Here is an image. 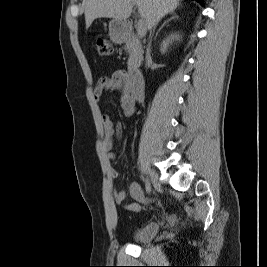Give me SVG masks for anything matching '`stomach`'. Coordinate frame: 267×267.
Wrapping results in <instances>:
<instances>
[{"label":"stomach","instance_id":"obj_1","mask_svg":"<svg viewBox=\"0 0 267 267\" xmlns=\"http://www.w3.org/2000/svg\"><path fill=\"white\" fill-rule=\"evenodd\" d=\"M128 35V23L125 20L112 19L109 22V36L114 43H122Z\"/></svg>","mask_w":267,"mask_h":267}]
</instances>
